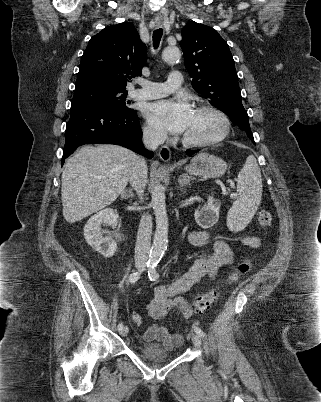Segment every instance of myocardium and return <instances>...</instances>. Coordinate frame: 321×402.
I'll list each match as a JSON object with an SVG mask.
<instances>
[{
    "label": "myocardium",
    "mask_w": 321,
    "mask_h": 402,
    "mask_svg": "<svg viewBox=\"0 0 321 402\" xmlns=\"http://www.w3.org/2000/svg\"><path fill=\"white\" fill-rule=\"evenodd\" d=\"M194 111H210L214 114H216L221 122H222V128L221 131L219 132L218 135H216L213 138L206 139V140H197V139H192L187 137L186 135H183L182 141L185 145L190 146V147H208L215 145L221 141H223L229 134L230 129H231V122L227 114L219 109L216 106L210 105V104H202L197 106Z\"/></svg>",
    "instance_id": "f54148a6"
}]
</instances>
